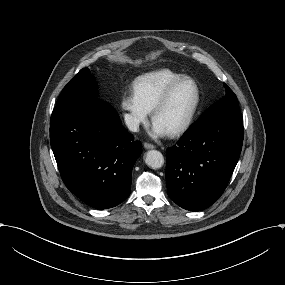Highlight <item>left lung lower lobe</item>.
I'll return each mask as SVG.
<instances>
[{
	"label": "left lung lower lobe",
	"instance_id": "1",
	"mask_svg": "<svg viewBox=\"0 0 285 285\" xmlns=\"http://www.w3.org/2000/svg\"><path fill=\"white\" fill-rule=\"evenodd\" d=\"M243 135L239 106L214 110L195 122L166 153L171 200L201 211L219 199L238 162Z\"/></svg>",
	"mask_w": 285,
	"mask_h": 285
}]
</instances>
